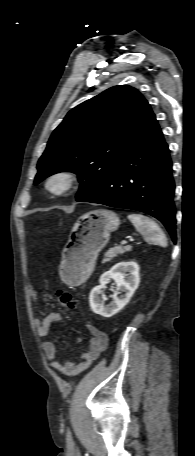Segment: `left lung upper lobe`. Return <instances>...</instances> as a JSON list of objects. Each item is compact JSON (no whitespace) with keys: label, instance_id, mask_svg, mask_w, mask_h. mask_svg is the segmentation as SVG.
I'll return each mask as SVG.
<instances>
[{"label":"left lung upper lobe","instance_id":"obj_1","mask_svg":"<svg viewBox=\"0 0 195 456\" xmlns=\"http://www.w3.org/2000/svg\"><path fill=\"white\" fill-rule=\"evenodd\" d=\"M151 108L141 93L115 86L73 108L52 133L34 184L58 172L79 176L77 201L95 193Z\"/></svg>","mask_w":195,"mask_h":456}]
</instances>
